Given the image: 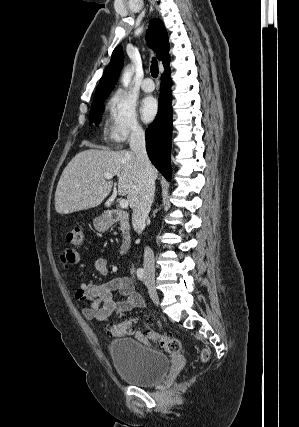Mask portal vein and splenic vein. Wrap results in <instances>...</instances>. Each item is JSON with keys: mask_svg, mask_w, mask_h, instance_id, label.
Listing matches in <instances>:
<instances>
[{"mask_svg": "<svg viewBox=\"0 0 299 427\" xmlns=\"http://www.w3.org/2000/svg\"><path fill=\"white\" fill-rule=\"evenodd\" d=\"M105 178L106 179H111V178H113V174H111V173H105ZM119 205H120V207L121 208H127L128 207V205H129V203H128V201L127 200H125V199H121L120 201H119Z\"/></svg>", "mask_w": 299, "mask_h": 427, "instance_id": "1", "label": "portal vein and splenic vein"}]
</instances>
